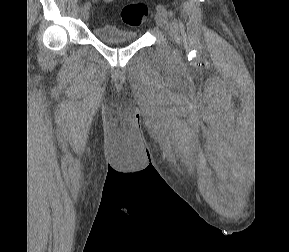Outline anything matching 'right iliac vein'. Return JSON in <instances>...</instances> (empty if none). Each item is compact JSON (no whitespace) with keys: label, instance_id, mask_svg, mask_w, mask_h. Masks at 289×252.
I'll return each instance as SVG.
<instances>
[{"label":"right iliac vein","instance_id":"obj_1","mask_svg":"<svg viewBox=\"0 0 289 252\" xmlns=\"http://www.w3.org/2000/svg\"><path fill=\"white\" fill-rule=\"evenodd\" d=\"M80 16L84 21H87L89 19V11L88 9L81 7L80 8Z\"/></svg>","mask_w":289,"mask_h":252}]
</instances>
